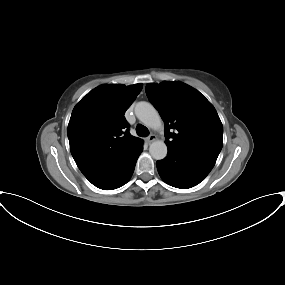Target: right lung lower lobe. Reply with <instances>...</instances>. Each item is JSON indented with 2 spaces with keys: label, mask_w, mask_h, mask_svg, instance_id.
I'll return each instance as SVG.
<instances>
[{
  "label": "right lung lower lobe",
  "mask_w": 285,
  "mask_h": 285,
  "mask_svg": "<svg viewBox=\"0 0 285 285\" xmlns=\"http://www.w3.org/2000/svg\"><path fill=\"white\" fill-rule=\"evenodd\" d=\"M143 151V143L128 151L113 165L88 180L96 187L104 190H113L128 182L133 174L136 161Z\"/></svg>",
  "instance_id": "right-lung-lower-lobe-1"
}]
</instances>
